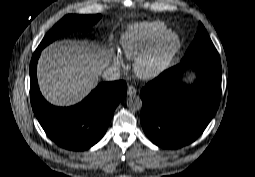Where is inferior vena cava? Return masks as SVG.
I'll return each instance as SVG.
<instances>
[{"label":"inferior vena cava","mask_w":255,"mask_h":177,"mask_svg":"<svg viewBox=\"0 0 255 177\" xmlns=\"http://www.w3.org/2000/svg\"><path fill=\"white\" fill-rule=\"evenodd\" d=\"M102 78L105 81H115L120 78V70L118 67L111 65L104 69L102 73Z\"/></svg>","instance_id":"obj_1"}]
</instances>
